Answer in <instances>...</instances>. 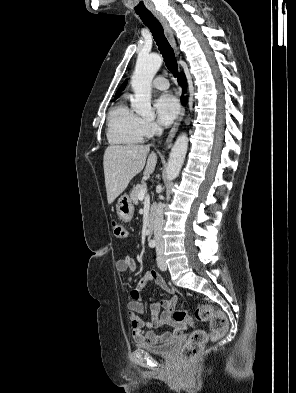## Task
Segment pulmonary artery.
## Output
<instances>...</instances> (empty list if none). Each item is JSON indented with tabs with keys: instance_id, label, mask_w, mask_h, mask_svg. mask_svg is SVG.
<instances>
[{
	"instance_id": "1",
	"label": "pulmonary artery",
	"mask_w": 296,
	"mask_h": 393,
	"mask_svg": "<svg viewBox=\"0 0 296 393\" xmlns=\"http://www.w3.org/2000/svg\"><path fill=\"white\" fill-rule=\"evenodd\" d=\"M153 87L155 89L161 90V91H165L169 88V82L168 80L163 77V76H158L154 79L153 81Z\"/></svg>"
}]
</instances>
